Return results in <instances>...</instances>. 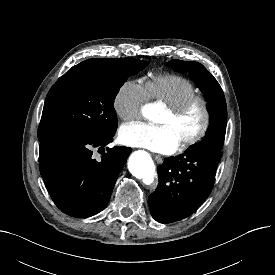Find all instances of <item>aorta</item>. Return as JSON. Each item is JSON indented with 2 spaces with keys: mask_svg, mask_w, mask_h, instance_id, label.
Listing matches in <instances>:
<instances>
[{
  "mask_svg": "<svg viewBox=\"0 0 275 275\" xmlns=\"http://www.w3.org/2000/svg\"><path fill=\"white\" fill-rule=\"evenodd\" d=\"M160 109L155 105H147L143 109L146 118L152 121H158L160 118ZM130 172L144 183L150 184L155 176V165L151 157L142 152H134L128 162Z\"/></svg>",
  "mask_w": 275,
  "mask_h": 275,
  "instance_id": "762f6f07",
  "label": "aorta"
}]
</instances>
